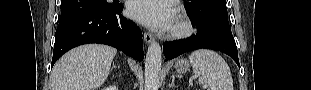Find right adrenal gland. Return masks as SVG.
<instances>
[{
    "mask_svg": "<svg viewBox=\"0 0 311 90\" xmlns=\"http://www.w3.org/2000/svg\"><path fill=\"white\" fill-rule=\"evenodd\" d=\"M113 68H116V66L114 65V63H113ZM118 68H119V66H118Z\"/></svg>",
    "mask_w": 311,
    "mask_h": 90,
    "instance_id": "obj_1",
    "label": "right adrenal gland"
}]
</instances>
